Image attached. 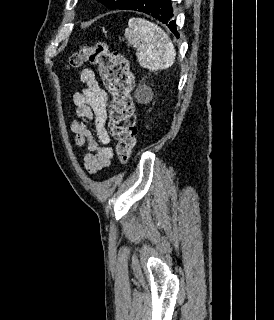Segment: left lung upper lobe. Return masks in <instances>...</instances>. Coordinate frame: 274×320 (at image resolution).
<instances>
[{"mask_svg": "<svg viewBox=\"0 0 274 320\" xmlns=\"http://www.w3.org/2000/svg\"><path fill=\"white\" fill-rule=\"evenodd\" d=\"M110 9H124L133 0H98Z\"/></svg>", "mask_w": 274, "mask_h": 320, "instance_id": "obj_1", "label": "left lung upper lobe"}]
</instances>
